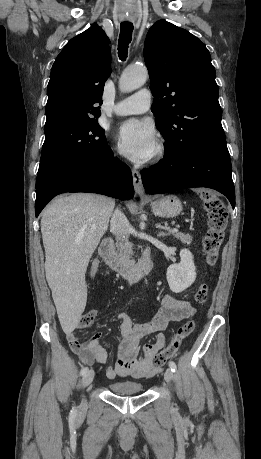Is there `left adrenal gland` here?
Instances as JSON below:
<instances>
[{
    "label": "left adrenal gland",
    "instance_id": "a2214340",
    "mask_svg": "<svg viewBox=\"0 0 261 459\" xmlns=\"http://www.w3.org/2000/svg\"><path fill=\"white\" fill-rule=\"evenodd\" d=\"M168 235H169V233L160 232V233L158 234V237H166V236H168Z\"/></svg>",
    "mask_w": 261,
    "mask_h": 459
}]
</instances>
